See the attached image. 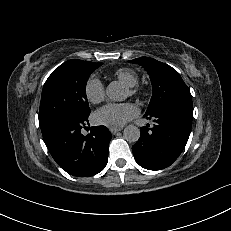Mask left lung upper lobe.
<instances>
[{"label": "left lung upper lobe", "mask_w": 231, "mask_h": 231, "mask_svg": "<svg viewBox=\"0 0 231 231\" xmlns=\"http://www.w3.org/2000/svg\"><path fill=\"white\" fill-rule=\"evenodd\" d=\"M129 62L143 66L150 75L153 94L146 113H150L170 101L192 102L190 89L180 74L171 66L149 57H141Z\"/></svg>", "instance_id": "5c2ea615"}]
</instances>
